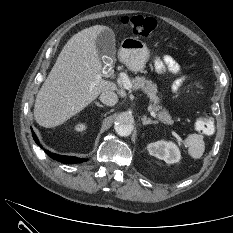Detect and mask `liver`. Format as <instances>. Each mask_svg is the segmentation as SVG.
I'll use <instances>...</instances> for the list:
<instances>
[{"label":"liver","instance_id":"1","mask_svg":"<svg viewBox=\"0 0 233 233\" xmlns=\"http://www.w3.org/2000/svg\"><path fill=\"white\" fill-rule=\"evenodd\" d=\"M105 28L95 25L83 29L63 47L37 94L34 117L40 126H58L82 111L102 92L117 89L113 82L96 79L102 63L95 40Z\"/></svg>","mask_w":233,"mask_h":233}]
</instances>
